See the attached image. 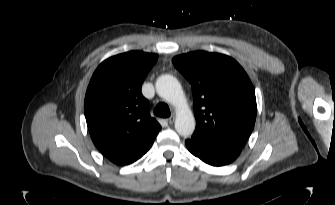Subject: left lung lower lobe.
Listing matches in <instances>:
<instances>
[{
  "instance_id": "left-lung-lower-lobe-1",
  "label": "left lung lower lobe",
  "mask_w": 335,
  "mask_h": 205,
  "mask_svg": "<svg viewBox=\"0 0 335 205\" xmlns=\"http://www.w3.org/2000/svg\"><path fill=\"white\" fill-rule=\"evenodd\" d=\"M188 150L203 162L213 166H223L234 161L240 154V148L213 144L192 136L185 141Z\"/></svg>"
}]
</instances>
